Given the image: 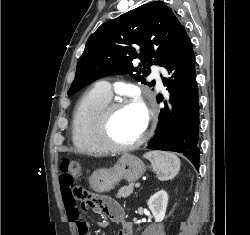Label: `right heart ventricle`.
<instances>
[{
	"mask_svg": "<svg viewBox=\"0 0 250 235\" xmlns=\"http://www.w3.org/2000/svg\"><path fill=\"white\" fill-rule=\"evenodd\" d=\"M110 99L95 86L78 101L72 119V141L79 153L95 156L108 152L96 138L95 125L99 112Z\"/></svg>",
	"mask_w": 250,
	"mask_h": 235,
	"instance_id": "e07e8e85",
	"label": "right heart ventricle"
}]
</instances>
